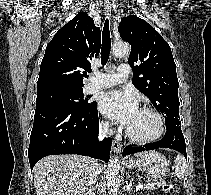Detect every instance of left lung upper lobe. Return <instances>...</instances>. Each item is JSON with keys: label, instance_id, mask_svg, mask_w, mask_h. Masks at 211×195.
Wrapping results in <instances>:
<instances>
[{"label": "left lung upper lobe", "instance_id": "obj_1", "mask_svg": "<svg viewBox=\"0 0 211 195\" xmlns=\"http://www.w3.org/2000/svg\"><path fill=\"white\" fill-rule=\"evenodd\" d=\"M119 33L131 45L128 63L134 86L165 118L166 129L181 127L176 65L168 43L136 15L121 19Z\"/></svg>", "mask_w": 211, "mask_h": 195}]
</instances>
